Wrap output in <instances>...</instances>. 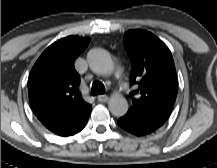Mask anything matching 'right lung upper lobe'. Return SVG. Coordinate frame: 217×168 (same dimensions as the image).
<instances>
[{"label": "right lung upper lobe", "mask_w": 217, "mask_h": 168, "mask_svg": "<svg viewBox=\"0 0 217 168\" xmlns=\"http://www.w3.org/2000/svg\"><path fill=\"white\" fill-rule=\"evenodd\" d=\"M89 38L68 36L51 44L33 66L28 79L31 108L42 124L59 136H72L86 125L92 106L79 92L76 58Z\"/></svg>", "instance_id": "obj_1"}]
</instances>
